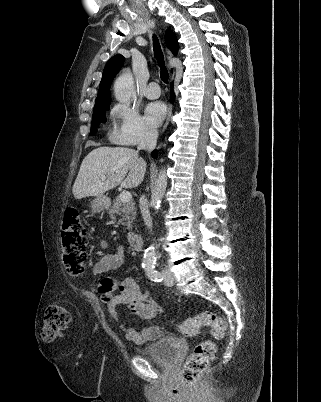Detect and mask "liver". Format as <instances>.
I'll list each match as a JSON object with an SVG mask.
<instances>
[{
    "instance_id": "1",
    "label": "liver",
    "mask_w": 321,
    "mask_h": 402,
    "mask_svg": "<svg viewBox=\"0 0 321 402\" xmlns=\"http://www.w3.org/2000/svg\"><path fill=\"white\" fill-rule=\"evenodd\" d=\"M146 162L138 151L127 147H98L82 161L73 185L75 199L100 196L121 185L137 187L144 179ZM105 175L106 178L101 177Z\"/></svg>"
}]
</instances>
